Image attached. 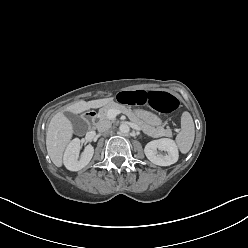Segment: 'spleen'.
Wrapping results in <instances>:
<instances>
[{
    "label": "spleen",
    "instance_id": "3e777b00",
    "mask_svg": "<svg viewBox=\"0 0 248 248\" xmlns=\"http://www.w3.org/2000/svg\"><path fill=\"white\" fill-rule=\"evenodd\" d=\"M195 127L192 116L189 112L185 111L181 116V131L176 137V144L181 151L185 154L189 152L194 142Z\"/></svg>",
    "mask_w": 248,
    "mask_h": 248
}]
</instances>
